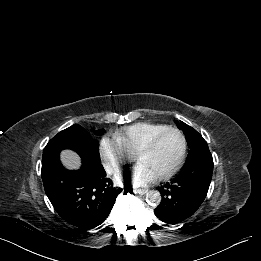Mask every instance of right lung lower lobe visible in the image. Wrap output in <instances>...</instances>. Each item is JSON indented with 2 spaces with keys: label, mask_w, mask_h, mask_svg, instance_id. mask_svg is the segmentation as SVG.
Wrapping results in <instances>:
<instances>
[{
  "label": "right lung lower lobe",
  "mask_w": 261,
  "mask_h": 261,
  "mask_svg": "<svg viewBox=\"0 0 261 261\" xmlns=\"http://www.w3.org/2000/svg\"><path fill=\"white\" fill-rule=\"evenodd\" d=\"M82 158V167L70 171L59 159L42 165V180L46 195L57 213L68 223L82 229H92L108 217L121 188H114L101 165L82 140L74 149Z\"/></svg>",
  "instance_id": "1"
}]
</instances>
